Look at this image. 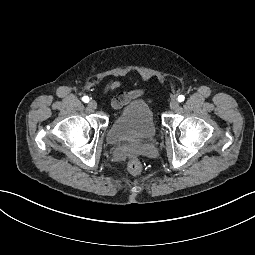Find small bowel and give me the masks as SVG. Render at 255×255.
Listing matches in <instances>:
<instances>
[{"label":"small bowel","instance_id":"small-bowel-1","mask_svg":"<svg viewBox=\"0 0 255 255\" xmlns=\"http://www.w3.org/2000/svg\"><path fill=\"white\" fill-rule=\"evenodd\" d=\"M121 86V83L117 79H111L105 86L104 93H109ZM141 94L140 91L122 92L112 100V106L115 109H120L129 100L138 97Z\"/></svg>","mask_w":255,"mask_h":255}]
</instances>
